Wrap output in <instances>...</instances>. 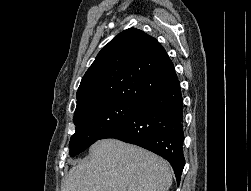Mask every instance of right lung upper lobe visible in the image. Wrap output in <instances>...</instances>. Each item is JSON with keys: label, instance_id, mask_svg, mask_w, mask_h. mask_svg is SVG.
Segmentation results:
<instances>
[{"label": "right lung upper lobe", "instance_id": "right-lung-upper-lobe-1", "mask_svg": "<svg viewBox=\"0 0 251 191\" xmlns=\"http://www.w3.org/2000/svg\"><path fill=\"white\" fill-rule=\"evenodd\" d=\"M177 80L161 44L143 31L129 28L99 52L85 73L75 111L112 101L141 104Z\"/></svg>", "mask_w": 251, "mask_h": 191}]
</instances>
